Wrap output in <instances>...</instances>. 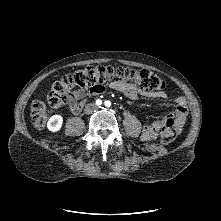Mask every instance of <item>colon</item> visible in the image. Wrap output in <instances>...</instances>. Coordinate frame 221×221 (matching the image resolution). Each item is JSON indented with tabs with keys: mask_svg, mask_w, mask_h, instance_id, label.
Segmentation results:
<instances>
[{
	"mask_svg": "<svg viewBox=\"0 0 221 221\" xmlns=\"http://www.w3.org/2000/svg\"><path fill=\"white\" fill-rule=\"evenodd\" d=\"M111 81L131 84L146 92L161 91L165 87L164 80L149 70H137L125 66H90L56 81L47 95V102L51 107L59 108L66 104L74 91L79 89L96 91ZM30 117L35 127L43 128L48 117L46 103L42 100L34 101L31 105ZM176 135L175 121L166 120L161 130V144L169 145Z\"/></svg>",
	"mask_w": 221,
	"mask_h": 221,
	"instance_id": "obj_1",
	"label": "colon"
}]
</instances>
